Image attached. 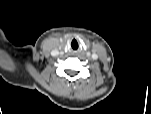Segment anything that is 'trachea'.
Masks as SVG:
<instances>
[{
    "label": "trachea",
    "instance_id": "3493384b",
    "mask_svg": "<svg viewBox=\"0 0 151 114\" xmlns=\"http://www.w3.org/2000/svg\"><path fill=\"white\" fill-rule=\"evenodd\" d=\"M71 45H72V48H73V49H75V50H76V49H77V47H78V46H77V47H74V46H73V44H71Z\"/></svg>",
    "mask_w": 151,
    "mask_h": 114
}]
</instances>
